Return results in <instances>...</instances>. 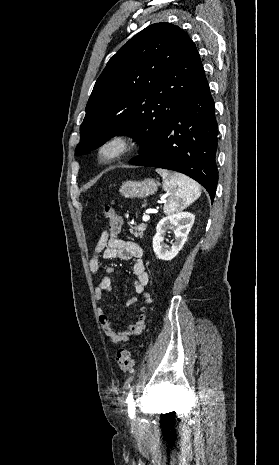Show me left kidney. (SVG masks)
I'll use <instances>...</instances> for the list:
<instances>
[{"label":"left kidney","instance_id":"5707ae66","mask_svg":"<svg viewBox=\"0 0 279 465\" xmlns=\"http://www.w3.org/2000/svg\"><path fill=\"white\" fill-rule=\"evenodd\" d=\"M194 220L195 216L190 212H176L158 222L153 238V250L157 258L170 261L179 253L187 240ZM168 230H172L175 235V241L171 247L164 244V237Z\"/></svg>","mask_w":279,"mask_h":465}]
</instances>
